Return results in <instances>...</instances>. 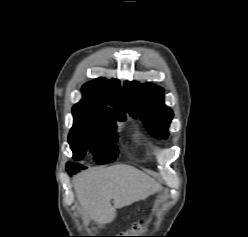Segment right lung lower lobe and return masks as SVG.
Listing matches in <instances>:
<instances>
[{
    "label": "right lung lower lobe",
    "mask_w": 248,
    "mask_h": 237,
    "mask_svg": "<svg viewBox=\"0 0 248 237\" xmlns=\"http://www.w3.org/2000/svg\"><path fill=\"white\" fill-rule=\"evenodd\" d=\"M85 168H86V167L81 166V167H79V168H75V169H71V170H67V171H68V173H69L70 175H72V174H75L76 172H78L79 170L85 169Z\"/></svg>",
    "instance_id": "1"
}]
</instances>
